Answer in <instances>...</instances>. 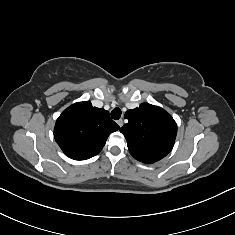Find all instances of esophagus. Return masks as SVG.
Masks as SVG:
<instances>
[{
	"label": "esophagus",
	"mask_w": 235,
	"mask_h": 235,
	"mask_svg": "<svg viewBox=\"0 0 235 235\" xmlns=\"http://www.w3.org/2000/svg\"><path fill=\"white\" fill-rule=\"evenodd\" d=\"M117 124H118L120 127H122V126H123V120H122V119H119V120L117 121Z\"/></svg>",
	"instance_id": "obj_1"
}]
</instances>
